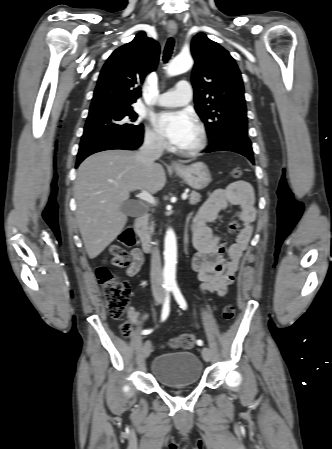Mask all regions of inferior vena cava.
Segmentation results:
<instances>
[{"label":"inferior vena cava","mask_w":332,"mask_h":449,"mask_svg":"<svg viewBox=\"0 0 332 449\" xmlns=\"http://www.w3.org/2000/svg\"><path fill=\"white\" fill-rule=\"evenodd\" d=\"M166 145L165 139L161 136H153L146 138L144 144L136 153V159L145 166H151L154 161L162 156L164 147ZM151 286L152 292L155 296L163 295V277L160 253L157 247L153 249L151 255Z\"/></svg>","instance_id":"1"}]
</instances>
